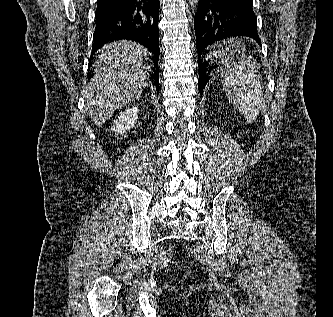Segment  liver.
<instances>
[{
	"instance_id": "1",
	"label": "liver",
	"mask_w": 333,
	"mask_h": 317,
	"mask_svg": "<svg viewBox=\"0 0 333 317\" xmlns=\"http://www.w3.org/2000/svg\"><path fill=\"white\" fill-rule=\"evenodd\" d=\"M147 49L131 41L105 45L95 63V76L84 90L89 116L102 126L116 110L137 99L147 83Z\"/></svg>"
}]
</instances>
